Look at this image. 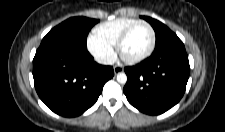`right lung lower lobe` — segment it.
Here are the masks:
<instances>
[{"mask_svg": "<svg viewBox=\"0 0 225 132\" xmlns=\"http://www.w3.org/2000/svg\"><path fill=\"white\" fill-rule=\"evenodd\" d=\"M113 75V68L96 63L87 48L41 44L33 59L40 99L64 117L78 116L94 105Z\"/></svg>", "mask_w": 225, "mask_h": 132, "instance_id": "right-lung-lower-lobe-1", "label": "right lung lower lobe"}]
</instances>
